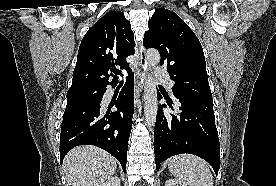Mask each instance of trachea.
Listing matches in <instances>:
<instances>
[{
	"label": "trachea",
	"instance_id": "trachea-1",
	"mask_svg": "<svg viewBox=\"0 0 276 186\" xmlns=\"http://www.w3.org/2000/svg\"><path fill=\"white\" fill-rule=\"evenodd\" d=\"M117 74L123 76V74L120 71H118Z\"/></svg>",
	"mask_w": 276,
	"mask_h": 186
}]
</instances>
